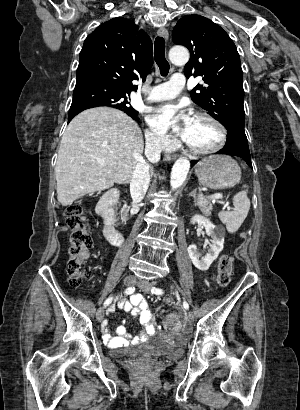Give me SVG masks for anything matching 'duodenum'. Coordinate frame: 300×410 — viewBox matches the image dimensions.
I'll return each instance as SVG.
<instances>
[{
	"mask_svg": "<svg viewBox=\"0 0 300 410\" xmlns=\"http://www.w3.org/2000/svg\"><path fill=\"white\" fill-rule=\"evenodd\" d=\"M118 190H111L105 199L99 204V212L105 218L103 233L105 238L113 246H119L124 240V236L115 227V214L109 211L110 204L120 199Z\"/></svg>",
	"mask_w": 300,
	"mask_h": 410,
	"instance_id": "1",
	"label": "duodenum"
}]
</instances>
